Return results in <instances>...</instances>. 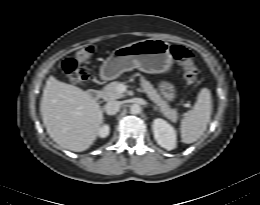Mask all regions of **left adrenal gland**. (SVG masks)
Returning a JSON list of instances; mask_svg holds the SVG:
<instances>
[{
    "label": "left adrenal gland",
    "mask_w": 260,
    "mask_h": 205,
    "mask_svg": "<svg viewBox=\"0 0 260 205\" xmlns=\"http://www.w3.org/2000/svg\"><path fill=\"white\" fill-rule=\"evenodd\" d=\"M153 109H154V110H157V108H156V107H153Z\"/></svg>",
    "instance_id": "a2214340"
}]
</instances>
